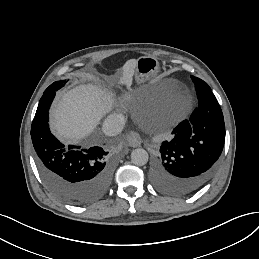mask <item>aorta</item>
I'll list each match as a JSON object with an SVG mask.
<instances>
[{"label": "aorta", "instance_id": "1", "mask_svg": "<svg viewBox=\"0 0 259 259\" xmlns=\"http://www.w3.org/2000/svg\"><path fill=\"white\" fill-rule=\"evenodd\" d=\"M148 158L147 151L142 148L135 149L131 153V161L137 166L145 165L148 162Z\"/></svg>", "mask_w": 259, "mask_h": 259}]
</instances>
